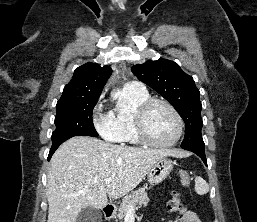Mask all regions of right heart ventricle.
<instances>
[{
    "label": "right heart ventricle",
    "instance_id": "obj_1",
    "mask_svg": "<svg viewBox=\"0 0 257 222\" xmlns=\"http://www.w3.org/2000/svg\"><path fill=\"white\" fill-rule=\"evenodd\" d=\"M150 98L147 90H135L124 87L118 94L115 108L110 112L116 137L113 140L125 145L138 146L139 140L135 116L140 105Z\"/></svg>",
    "mask_w": 257,
    "mask_h": 222
}]
</instances>
